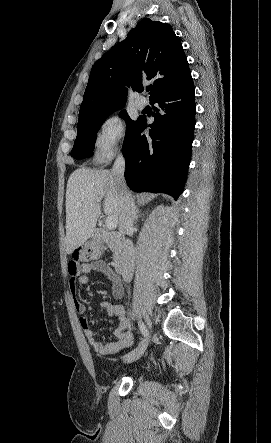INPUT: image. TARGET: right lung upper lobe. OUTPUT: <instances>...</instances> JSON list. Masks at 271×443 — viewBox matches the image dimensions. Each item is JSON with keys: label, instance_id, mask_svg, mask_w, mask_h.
Returning <instances> with one entry per match:
<instances>
[{"label": "right lung upper lobe", "instance_id": "1", "mask_svg": "<svg viewBox=\"0 0 271 443\" xmlns=\"http://www.w3.org/2000/svg\"><path fill=\"white\" fill-rule=\"evenodd\" d=\"M191 78L181 41L171 25L142 19L124 41L93 65L79 119L103 116L123 107L126 86L138 90L143 80L153 79L151 100L159 92Z\"/></svg>", "mask_w": 271, "mask_h": 443}]
</instances>
